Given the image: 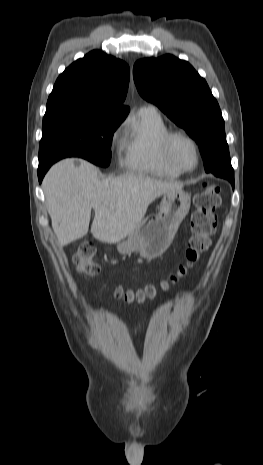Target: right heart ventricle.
<instances>
[{
  "label": "right heart ventricle",
  "mask_w": 263,
  "mask_h": 465,
  "mask_svg": "<svg viewBox=\"0 0 263 465\" xmlns=\"http://www.w3.org/2000/svg\"><path fill=\"white\" fill-rule=\"evenodd\" d=\"M169 128L156 111L140 109L128 125L123 142V164L135 174L174 179L180 172L164 160L161 144Z\"/></svg>",
  "instance_id": "right-heart-ventricle-1"
}]
</instances>
